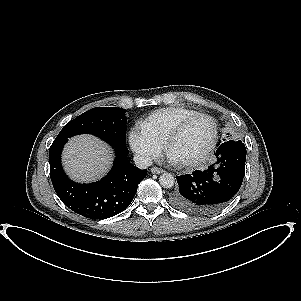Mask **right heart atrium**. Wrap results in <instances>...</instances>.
<instances>
[{"label": "right heart atrium", "mask_w": 301, "mask_h": 301, "mask_svg": "<svg viewBox=\"0 0 301 301\" xmlns=\"http://www.w3.org/2000/svg\"><path fill=\"white\" fill-rule=\"evenodd\" d=\"M129 144L133 152L144 163H150L157 159L162 152L161 144L136 127L129 132Z\"/></svg>", "instance_id": "obj_1"}]
</instances>
